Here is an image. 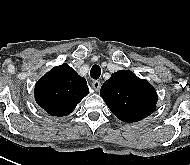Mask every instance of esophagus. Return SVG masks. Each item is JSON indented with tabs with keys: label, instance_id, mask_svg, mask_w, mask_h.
I'll list each match as a JSON object with an SVG mask.
<instances>
[{
	"label": "esophagus",
	"instance_id": "esophagus-1",
	"mask_svg": "<svg viewBox=\"0 0 190 165\" xmlns=\"http://www.w3.org/2000/svg\"><path fill=\"white\" fill-rule=\"evenodd\" d=\"M92 88L95 90V91H99L100 90V88H101V83H100V81H98V80H95V81H93L92 82Z\"/></svg>",
	"mask_w": 190,
	"mask_h": 165
}]
</instances>
